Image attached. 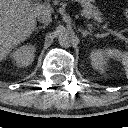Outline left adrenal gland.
Masks as SVG:
<instances>
[{"label": "left adrenal gland", "instance_id": "a2214340", "mask_svg": "<svg viewBox=\"0 0 128 128\" xmlns=\"http://www.w3.org/2000/svg\"><path fill=\"white\" fill-rule=\"evenodd\" d=\"M79 31L81 32L83 37H86L88 35H92V33L87 31V30L79 29Z\"/></svg>", "mask_w": 128, "mask_h": 128}]
</instances>
